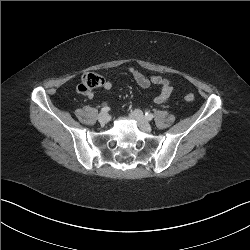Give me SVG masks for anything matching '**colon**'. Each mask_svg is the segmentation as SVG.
<instances>
[{"instance_id":"1","label":"colon","mask_w":250,"mask_h":250,"mask_svg":"<svg viewBox=\"0 0 250 250\" xmlns=\"http://www.w3.org/2000/svg\"><path fill=\"white\" fill-rule=\"evenodd\" d=\"M103 79L101 76L95 73H86L82 76L80 83L78 84L76 90L79 93L85 94L89 91H92L95 88H98L102 85ZM195 99L193 94H187L184 97L186 102H193Z\"/></svg>"}]
</instances>
